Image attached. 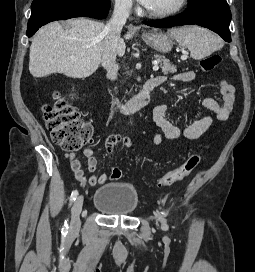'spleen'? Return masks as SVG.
Returning <instances> with one entry per match:
<instances>
[{"mask_svg":"<svg viewBox=\"0 0 255 272\" xmlns=\"http://www.w3.org/2000/svg\"><path fill=\"white\" fill-rule=\"evenodd\" d=\"M180 46L190 51L193 59H202L223 46L219 37L207 29L198 26H184L169 31Z\"/></svg>","mask_w":255,"mask_h":272,"instance_id":"obj_1","label":"spleen"}]
</instances>
